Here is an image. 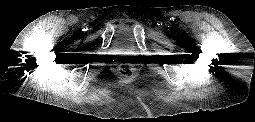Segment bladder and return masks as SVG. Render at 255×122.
I'll use <instances>...</instances> for the list:
<instances>
[{"instance_id":"31cf9c89","label":"bladder","mask_w":255,"mask_h":122,"mask_svg":"<svg viewBox=\"0 0 255 122\" xmlns=\"http://www.w3.org/2000/svg\"><path fill=\"white\" fill-rule=\"evenodd\" d=\"M117 49H130L133 46V37L129 28H121L114 41Z\"/></svg>"}]
</instances>
